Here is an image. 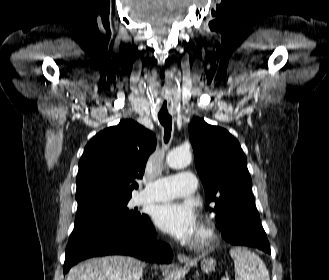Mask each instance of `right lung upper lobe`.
I'll return each instance as SVG.
<instances>
[{
	"mask_svg": "<svg viewBox=\"0 0 329 280\" xmlns=\"http://www.w3.org/2000/svg\"><path fill=\"white\" fill-rule=\"evenodd\" d=\"M156 148L154 134L133 120H122L96 134L79 161L76 199L91 195L128 198L137 189L149 155Z\"/></svg>",
	"mask_w": 329,
	"mask_h": 280,
	"instance_id": "1",
	"label": "right lung upper lobe"
}]
</instances>
